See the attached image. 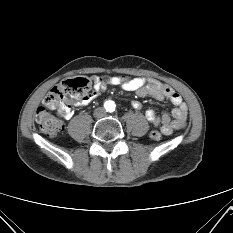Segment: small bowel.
Instances as JSON below:
<instances>
[{"mask_svg":"<svg viewBox=\"0 0 233 233\" xmlns=\"http://www.w3.org/2000/svg\"><path fill=\"white\" fill-rule=\"evenodd\" d=\"M109 86H116L124 91L134 92L139 97H152L158 101H170L174 105L170 114L158 115L154 109L145 111L147 121L155 127H160L163 134L171 135L186 126L188 110L182 97L169 85L154 78L138 76L122 82L118 76H112L107 81L99 76H93L91 96L84 101L75 103V105L86 106L90 104L97 96L105 92ZM132 107L139 110L142 108V104L139 101H133ZM55 109H57V114L65 120H69L74 115V109L71 106H62Z\"/></svg>","mask_w":233,"mask_h":233,"instance_id":"c3829d8e","label":"small bowel"}]
</instances>
